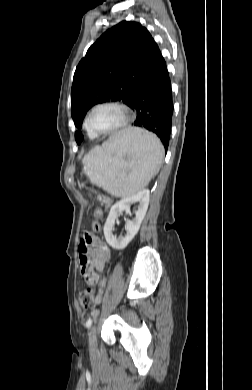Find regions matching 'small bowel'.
I'll use <instances>...</instances> for the list:
<instances>
[{
    "label": "small bowel",
    "mask_w": 252,
    "mask_h": 390,
    "mask_svg": "<svg viewBox=\"0 0 252 390\" xmlns=\"http://www.w3.org/2000/svg\"><path fill=\"white\" fill-rule=\"evenodd\" d=\"M79 259L82 264L83 256L87 257L86 266L91 274L87 280L90 285H96L95 304L100 305L106 285L103 277L106 264L110 260V249L95 235L86 232L78 245Z\"/></svg>",
    "instance_id": "small-bowel-1"
}]
</instances>
